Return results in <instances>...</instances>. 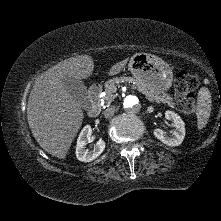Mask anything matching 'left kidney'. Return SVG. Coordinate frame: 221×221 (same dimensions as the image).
I'll use <instances>...</instances> for the list:
<instances>
[{
  "mask_svg": "<svg viewBox=\"0 0 221 221\" xmlns=\"http://www.w3.org/2000/svg\"><path fill=\"white\" fill-rule=\"evenodd\" d=\"M165 118L173 122L175 127L174 131H172L171 136H167L166 132L162 129H155L153 131L154 136L169 146H178L182 143L185 137V124L182 121L181 117L173 111H166Z\"/></svg>",
  "mask_w": 221,
  "mask_h": 221,
  "instance_id": "obj_1",
  "label": "left kidney"
}]
</instances>
